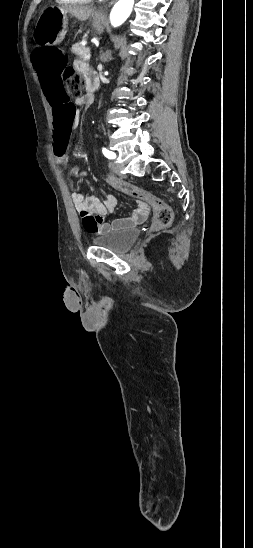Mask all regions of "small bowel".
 Instances as JSON below:
<instances>
[{
	"instance_id": "1",
	"label": "small bowel",
	"mask_w": 253,
	"mask_h": 548,
	"mask_svg": "<svg viewBox=\"0 0 253 548\" xmlns=\"http://www.w3.org/2000/svg\"><path fill=\"white\" fill-rule=\"evenodd\" d=\"M75 67L77 70L83 73L86 80L90 75H95V73L86 64L80 61H77L75 63ZM93 99L94 97L91 93H85L84 95L78 96L74 103L75 111L77 108L89 106L93 102ZM70 138L66 141L68 143V146ZM67 151L68 148L64 149L65 155L61 159L56 158L54 155L56 163L68 166L71 175L79 178L85 177V172L81 171L77 166H71L69 164ZM71 197L74 206L81 213L84 228L87 232L95 235H100L103 233L122 230L128 227L135 226L143 222L149 213L148 205L143 201H137L135 207L128 217L108 221V215L113 213L117 208V200L114 196L106 195L103 198H100L96 195H85L83 192L75 191L72 192Z\"/></svg>"
}]
</instances>
